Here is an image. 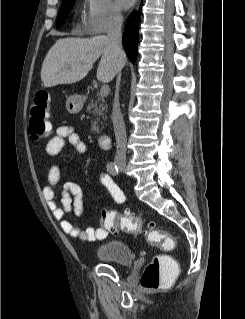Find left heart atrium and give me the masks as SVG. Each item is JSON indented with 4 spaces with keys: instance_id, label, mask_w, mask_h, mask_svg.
Instances as JSON below:
<instances>
[{
    "instance_id": "left-heart-atrium-1",
    "label": "left heart atrium",
    "mask_w": 245,
    "mask_h": 319,
    "mask_svg": "<svg viewBox=\"0 0 245 319\" xmlns=\"http://www.w3.org/2000/svg\"><path fill=\"white\" fill-rule=\"evenodd\" d=\"M134 0H117L118 5L122 9H128L132 6Z\"/></svg>"
}]
</instances>
